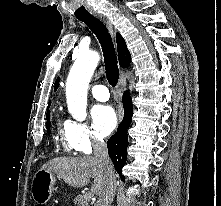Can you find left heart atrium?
Returning a JSON list of instances; mask_svg holds the SVG:
<instances>
[{
	"label": "left heart atrium",
	"mask_w": 221,
	"mask_h": 206,
	"mask_svg": "<svg viewBox=\"0 0 221 206\" xmlns=\"http://www.w3.org/2000/svg\"><path fill=\"white\" fill-rule=\"evenodd\" d=\"M93 125L103 136L109 135L117 125L115 110L109 105H97L92 110Z\"/></svg>",
	"instance_id": "39dd6f15"
}]
</instances>
